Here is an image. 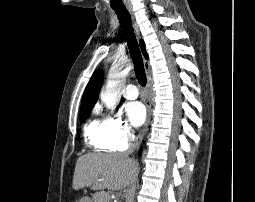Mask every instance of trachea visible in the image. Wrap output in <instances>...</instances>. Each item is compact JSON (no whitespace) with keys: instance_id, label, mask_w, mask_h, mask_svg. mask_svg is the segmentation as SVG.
<instances>
[{"instance_id":"3493384b","label":"trachea","mask_w":255,"mask_h":202,"mask_svg":"<svg viewBox=\"0 0 255 202\" xmlns=\"http://www.w3.org/2000/svg\"><path fill=\"white\" fill-rule=\"evenodd\" d=\"M114 11L118 16L122 32L128 44L129 52L134 63L136 78L139 84L144 87L146 85L147 79L142 55L132 27L131 16L126 8L114 9Z\"/></svg>"}]
</instances>
